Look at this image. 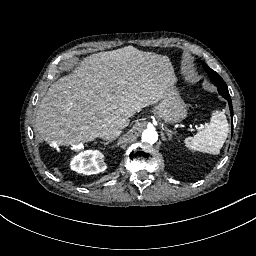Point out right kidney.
Masks as SVG:
<instances>
[{"mask_svg": "<svg viewBox=\"0 0 256 256\" xmlns=\"http://www.w3.org/2000/svg\"><path fill=\"white\" fill-rule=\"evenodd\" d=\"M71 168L85 175L97 174L106 170L104 154L100 151H85L74 157Z\"/></svg>", "mask_w": 256, "mask_h": 256, "instance_id": "right-kidney-1", "label": "right kidney"}]
</instances>
